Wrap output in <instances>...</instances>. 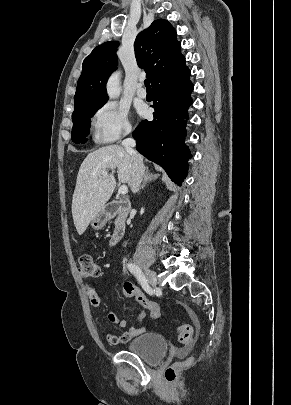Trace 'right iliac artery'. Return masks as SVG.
I'll return each instance as SVG.
<instances>
[{"instance_id": "82829eb1", "label": "right iliac artery", "mask_w": 291, "mask_h": 405, "mask_svg": "<svg viewBox=\"0 0 291 405\" xmlns=\"http://www.w3.org/2000/svg\"><path fill=\"white\" fill-rule=\"evenodd\" d=\"M127 267L129 269V271L134 274V276L138 279V281L140 282L142 288L144 289V291L146 293H148L149 295L153 294V290L150 287V285L148 284V280L145 278V276L143 275V273L141 272V270L134 264L129 263L127 264Z\"/></svg>"}]
</instances>
